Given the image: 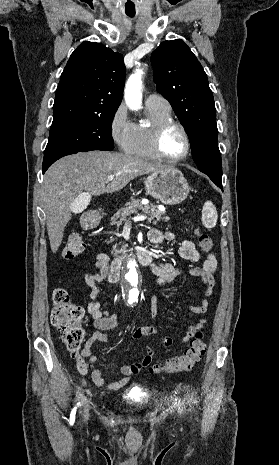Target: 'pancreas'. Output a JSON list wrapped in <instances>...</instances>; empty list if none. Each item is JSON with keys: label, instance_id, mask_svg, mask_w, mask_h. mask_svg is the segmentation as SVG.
I'll list each match as a JSON object with an SVG mask.
<instances>
[{"label": "pancreas", "instance_id": "cf45deb5", "mask_svg": "<svg viewBox=\"0 0 279 465\" xmlns=\"http://www.w3.org/2000/svg\"><path fill=\"white\" fill-rule=\"evenodd\" d=\"M139 211L148 214V222L153 223L154 225L161 220H169V217L163 216L164 212L159 210L155 205H142L139 199H134L114 214L111 218V224L120 227L123 222L128 220V217L131 216V214H137ZM123 248L124 246L120 245V243L115 244L112 248V253L116 256Z\"/></svg>", "mask_w": 279, "mask_h": 465}]
</instances>
